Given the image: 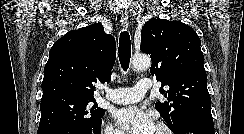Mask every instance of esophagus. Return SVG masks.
<instances>
[{"mask_svg":"<svg viewBox=\"0 0 244 134\" xmlns=\"http://www.w3.org/2000/svg\"><path fill=\"white\" fill-rule=\"evenodd\" d=\"M120 22L122 23L123 27L128 28L129 26V17L127 14L122 13L120 16Z\"/></svg>","mask_w":244,"mask_h":134,"instance_id":"1","label":"esophagus"}]
</instances>
